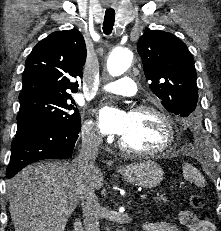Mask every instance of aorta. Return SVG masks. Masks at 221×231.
Wrapping results in <instances>:
<instances>
[{
  "label": "aorta",
  "mask_w": 221,
  "mask_h": 231,
  "mask_svg": "<svg viewBox=\"0 0 221 231\" xmlns=\"http://www.w3.org/2000/svg\"><path fill=\"white\" fill-rule=\"evenodd\" d=\"M133 54L126 48L114 49L107 59V70L112 76H120L131 65Z\"/></svg>",
  "instance_id": "obj_1"
}]
</instances>
